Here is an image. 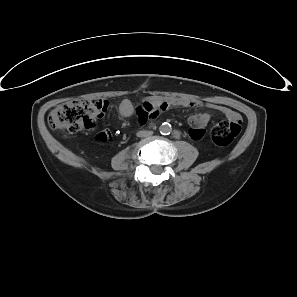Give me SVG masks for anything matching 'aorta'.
I'll return each mask as SVG.
<instances>
[{
	"label": "aorta",
	"mask_w": 297,
	"mask_h": 297,
	"mask_svg": "<svg viewBox=\"0 0 297 297\" xmlns=\"http://www.w3.org/2000/svg\"><path fill=\"white\" fill-rule=\"evenodd\" d=\"M171 131H172V128H171V125L169 123H163L159 127V132L161 134H163V135L170 134Z\"/></svg>",
	"instance_id": "1"
}]
</instances>
